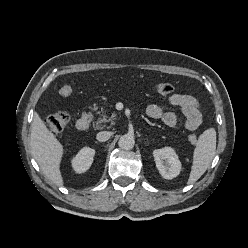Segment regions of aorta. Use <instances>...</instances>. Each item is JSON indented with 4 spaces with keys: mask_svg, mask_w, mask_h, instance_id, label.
<instances>
[{
    "mask_svg": "<svg viewBox=\"0 0 248 248\" xmlns=\"http://www.w3.org/2000/svg\"><path fill=\"white\" fill-rule=\"evenodd\" d=\"M135 140L132 135L125 134L120 137L118 145L122 150H131L134 147Z\"/></svg>",
    "mask_w": 248,
    "mask_h": 248,
    "instance_id": "obj_1",
    "label": "aorta"
}]
</instances>
